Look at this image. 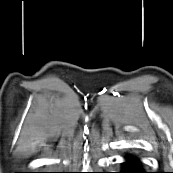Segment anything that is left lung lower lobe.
<instances>
[{
  "label": "left lung lower lobe",
  "mask_w": 173,
  "mask_h": 173,
  "mask_svg": "<svg viewBox=\"0 0 173 173\" xmlns=\"http://www.w3.org/2000/svg\"><path fill=\"white\" fill-rule=\"evenodd\" d=\"M124 162L122 163V172L120 173H146L140 160L132 155L126 154L124 156Z\"/></svg>",
  "instance_id": "left-lung-lower-lobe-1"
}]
</instances>
